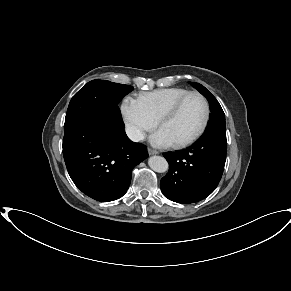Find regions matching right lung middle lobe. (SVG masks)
<instances>
[{
	"instance_id": "dd1d6c3e",
	"label": "right lung middle lobe",
	"mask_w": 291,
	"mask_h": 291,
	"mask_svg": "<svg viewBox=\"0 0 291 291\" xmlns=\"http://www.w3.org/2000/svg\"><path fill=\"white\" fill-rule=\"evenodd\" d=\"M133 90L132 86L106 80H92L71 99L65 121L89 122L93 118L117 108L121 99Z\"/></svg>"
}]
</instances>
